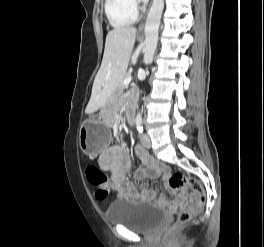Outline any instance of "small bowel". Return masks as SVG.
<instances>
[{
	"label": "small bowel",
	"instance_id": "1",
	"mask_svg": "<svg viewBox=\"0 0 264 247\" xmlns=\"http://www.w3.org/2000/svg\"><path fill=\"white\" fill-rule=\"evenodd\" d=\"M136 155L141 159L143 167L136 172L138 179L160 178L166 185L167 191L173 198H180L176 192L168 188L167 181L169 169L163 162L156 160L146 149L141 146L135 147ZM100 167L111 174L112 181L110 187L118 196L125 199H157L164 200L165 195L156 196L154 192L146 186H142L141 191L126 180V174L131 168V159L128 151L121 145L111 146L101 152L99 156Z\"/></svg>",
	"mask_w": 264,
	"mask_h": 247
}]
</instances>
